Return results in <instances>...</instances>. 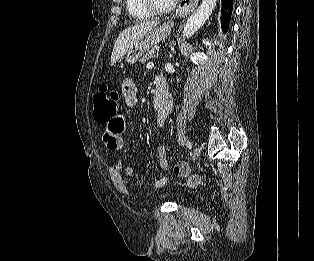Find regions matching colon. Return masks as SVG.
<instances>
[{"label":"colon","mask_w":314,"mask_h":261,"mask_svg":"<svg viewBox=\"0 0 314 261\" xmlns=\"http://www.w3.org/2000/svg\"><path fill=\"white\" fill-rule=\"evenodd\" d=\"M119 97L115 91L101 88L94 95V118L97 123L104 125L105 120L118 113ZM176 175L188 176L189 170L183 164L174 166Z\"/></svg>","instance_id":"5ec220e1"}]
</instances>
